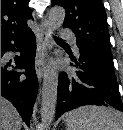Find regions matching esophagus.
I'll use <instances>...</instances> for the list:
<instances>
[{
	"instance_id": "34e87169",
	"label": "esophagus",
	"mask_w": 123,
	"mask_h": 130,
	"mask_svg": "<svg viewBox=\"0 0 123 130\" xmlns=\"http://www.w3.org/2000/svg\"><path fill=\"white\" fill-rule=\"evenodd\" d=\"M51 25L47 19H43L40 24L39 40L35 60V70L39 80L42 79L46 68L47 49L50 46Z\"/></svg>"
}]
</instances>
